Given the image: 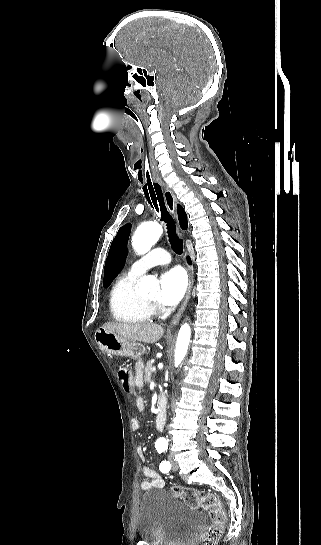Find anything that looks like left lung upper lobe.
I'll use <instances>...</instances> for the list:
<instances>
[{
    "label": "left lung upper lobe",
    "instance_id": "1",
    "mask_svg": "<svg viewBox=\"0 0 321 545\" xmlns=\"http://www.w3.org/2000/svg\"><path fill=\"white\" fill-rule=\"evenodd\" d=\"M130 229L131 224L129 223L121 227L111 244L104 269V288L111 284L125 263Z\"/></svg>",
    "mask_w": 321,
    "mask_h": 545
}]
</instances>
